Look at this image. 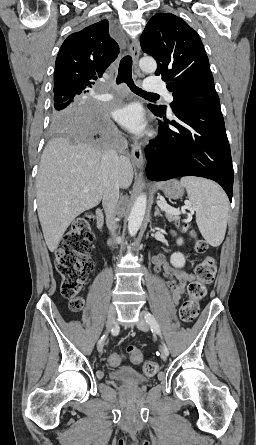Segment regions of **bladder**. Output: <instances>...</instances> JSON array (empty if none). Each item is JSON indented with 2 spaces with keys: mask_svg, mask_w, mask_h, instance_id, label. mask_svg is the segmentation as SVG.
<instances>
[{
  "mask_svg": "<svg viewBox=\"0 0 256 445\" xmlns=\"http://www.w3.org/2000/svg\"><path fill=\"white\" fill-rule=\"evenodd\" d=\"M109 376L114 381L126 384H143L149 381L148 377L129 366L113 369L109 372Z\"/></svg>",
  "mask_w": 256,
  "mask_h": 445,
  "instance_id": "1",
  "label": "bladder"
}]
</instances>
